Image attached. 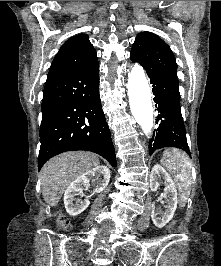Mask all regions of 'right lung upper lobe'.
Masks as SVG:
<instances>
[{
  "label": "right lung upper lobe",
  "mask_w": 221,
  "mask_h": 266,
  "mask_svg": "<svg viewBox=\"0 0 221 266\" xmlns=\"http://www.w3.org/2000/svg\"><path fill=\"white\" fill-rule=\"evenodd\" d=\"M96 61V51L88 36L76 35L60 47L49 69L46 84L76 73Z\"/></svg>",
  "instance_id": "cb5924a9"
}]
</instances>
